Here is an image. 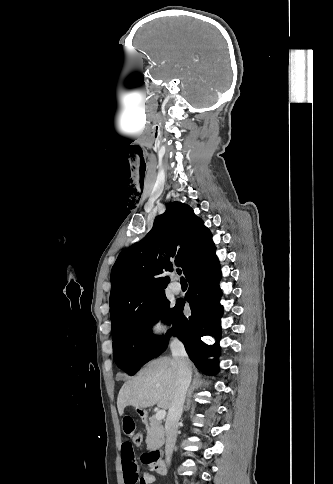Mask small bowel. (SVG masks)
Here are the masks:
<instances>
[{"instance_id":"small-bowel-1","label":"small bowel","mask_w":333,"mask_h":484,"mask_svg":"<svg viewBox=\"0 0 333 484\" xmlns=\"http://www.w3.org/2000/svg\"><path fill=\"white\" fill-rule=\"evenodd\" d=\"M122 430L128 439L136 434L135 419L131 415L123 416ZM121 459L125 484H151L154 481L152 474L139 472L134 449L129 440L122 444Z\"/></svg>"}]
</instances>
